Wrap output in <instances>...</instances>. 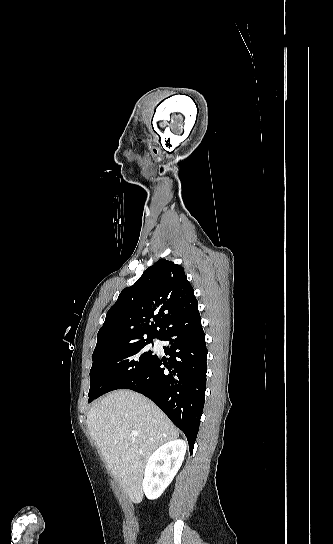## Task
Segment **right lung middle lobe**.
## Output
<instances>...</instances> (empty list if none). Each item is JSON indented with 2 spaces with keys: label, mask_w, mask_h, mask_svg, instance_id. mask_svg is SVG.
Instances as JSON below:
<instances>
[{
  "label": "right lung middle lobe",
  "mask_w": 333,
  "mask_h": 544,
  "mask_svg": "<svg viewBox=\"0 0 333 544\" xmlns=\"http://www.w3.org/2000/svg\"><path fill=\"white\" fill-rule=\"evenodd\" d=\"M150 343L152 339L143 338L93 352L88 402L137 379L157 357Z\"/></svg>",
  "instance_id": "obj_1"
}]
</instances>
